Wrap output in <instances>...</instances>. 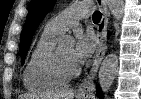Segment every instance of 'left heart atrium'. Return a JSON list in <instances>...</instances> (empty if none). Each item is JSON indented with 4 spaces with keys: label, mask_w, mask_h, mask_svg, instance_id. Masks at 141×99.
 <instances>
[{
    "label": "left heart atrium",
    "mask_w": 141,
    "mask_h": 99,
    "mask_svg": "<svg viewBox=\"0 0 141 99\" xmlns=\"http://www.w3.org/2000/svg\"><path fill=\"white\" fill-rule=\"evenodd\" d=\"M95 46V40L90 35H78L74 48L71 51L72 63L80 68L91 56Z\"/></svg>",
    "instance_id": "left-heart-atrium-1"
}]
</instances>
